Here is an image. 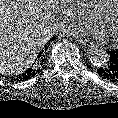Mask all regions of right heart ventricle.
Returning a JSON list of instances; mask_svg holds the SVG:
<instances>
[{"instance_id":"e07e8e85","label":"right heart ventricle","mask_w":118,"mask_h":118,"mask_svg":"<svg viewBox=\"0 0 118 118\" xmlns=\"http://www.w3.org/2000/svg\"><path fill=\"white\" fill-rule=\"evenodd\" d=\"M81 7L85 15L95 21H105L109 16L111 4L114 0H74ZM117 1V0H116Z\"/></svg>"}]
</instances>
